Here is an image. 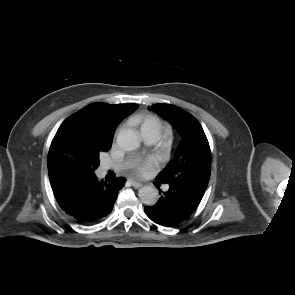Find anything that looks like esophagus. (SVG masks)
<instances>
[{"label":"esophagus","mask_w":295,"mask_h":295,"mask_svg":"<svg viewBox=\"0 0 295 295\" xmlns=\"http://www.w3.org/2000/svg\"><path fill=\"white\" fill-rule=\"evenodd\" d=\"M131 183H132L133 187H135V188H140L143 186V184L141 182L135 181L133 179L131 180Z\"/></svg>","instance_id":"esophagus-1"}]
</instances>
